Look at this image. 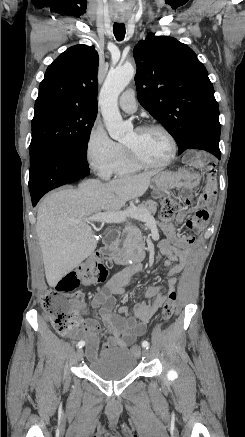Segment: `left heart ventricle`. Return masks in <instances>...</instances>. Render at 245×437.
<instances>
[{
  "label": "left heart ventricle",
  "instance_id": "obj_1",
  "mask_svg": "<svg viewBox=\"0 0 245 437\" xmlns=\"http://www.w3.org/2000/svg\"><path fill=\"white\" fill-rule=\"evenodd\" d=\"M138 157L149 162L166 160L171 152L170 142L159 130H132L123 141Z\"/></svg>",
  "mask_w": 245,
  "mask_h": 437
}]
</instances>
